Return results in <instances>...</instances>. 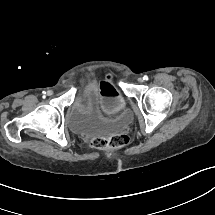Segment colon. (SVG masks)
I'll use <instances>...</instances> for the list:
<instances>
[{
  "label": "colon",
  "mask_w": 215,
  "mask_h": 215,
  "mask_svg": "<svg viewBox=\"0 0 215 215\" xmlns=\"http://www.w3.org/2000/svg\"><path fill=\"white\" fill-rule=\"evenodd\" d=\"M127 144L128 137L125 134H113L92 139V147L95 149H116L124 147Z\"/></svg>",
  "instance_id": "1"
}]
</instances>
